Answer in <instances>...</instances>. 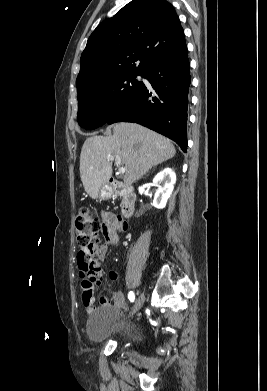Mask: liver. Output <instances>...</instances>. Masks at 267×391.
<instances>
[{
	"instance_id": "6515ba94",
	"label": "liver",
	"mask_w": 267,
	"mask_h": 391,
	"mask_svg": "<svg viewBox=\"0 0 267 391\" xmlns=\"http://www.w3.org/2000/svg\"><path fill=\"white\" fill-rule=\"evenodd\" d=\"M175 154V147L164 136L138 124L117 123L112 136H92L84 142L80 154L81 181L86 193L95 199L112 176L110 155L120 157L126 168L124 182L131 185Z\"/></svg>"
}]
</instances>
